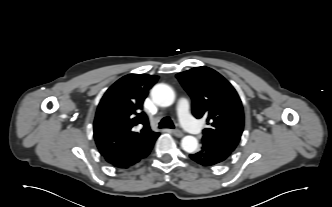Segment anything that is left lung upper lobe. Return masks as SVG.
<instances>
[{
  "mask_svg": "<svg viewBox=\"0 0 332 207\" xmlns=\"http://www.w3.org/2000/svg\"><path fill=\"white\" fill-rule=\"evenodd\" d=\"M192 98V113L206 117L209 128L203 130V142L232 152L241 137L244 113L233 86L218 72L208 67H195L176 75Z\"/></svg>",
  "mask_w": 332,
  "mask_h": 207,
  "instance_id": "obj_1",
  "label": "left lung upper lobe"
}]
</instances>
